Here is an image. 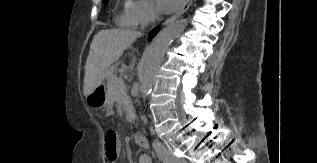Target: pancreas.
<instances>
[{
    "label": "pancreas",
    "instance_id": "pancreas-1",
    "mask_svg": "<svg viewBox=\"0 0 317 163\" xmlns=\"http://www.w3.org/2000/svg\"><path fill=\"white\" fill-rule=\"evenodd\" d=\"M113 68L115 67H112L107 73V105L110 107L115 103L120 105L126 112V120L134 122L136 115L131 99L126 92V86L124 85L122 88L118 86L117 80L122 79L113 73Z\"/></svg>",
    "mask_w": 317,
    "mask_h": 163
}]
</instances>
